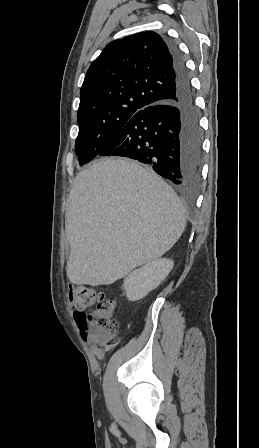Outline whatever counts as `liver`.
<instances>
[{
    "mask_svg": "<svg viewBox=\"0 0 259 448\" xmlns=\"http://www.w3.org/2000/svg\"><path fill=\"white\" fill-rule=\"evenodd\" d=\"M72 284L102 286L157 260L186 224L174 190L129 158H102L77 174L66 214Z\"/></svg>",
    "mask_w": 259,
    "mask_h": 448,
    "instance_id": "obj_1",
    "label": "liver"
}]
</instances>
